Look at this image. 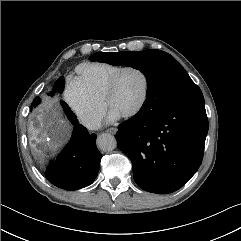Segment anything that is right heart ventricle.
Masks as SVG:
<instances>
[{
    "instance_id": "e07e8e85",
    "label": "right heart ventricle",
    "mask_w": 241,
    "mask_h": 241,
    "mask_svg": "<svg viewBox=\"0 0 241 241\" xmlns=\"http://www.w3.org/2000/svg\"><path fill=\"white\" fill-rule=\"evenodd\" d=\"M122 67L112 63H84L77 68V80L95 99L103 102L108 82Z\"/></svg>"
}]
</instances>
